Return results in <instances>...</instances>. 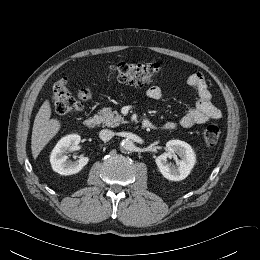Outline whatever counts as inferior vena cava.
Instances as JSON below:
<instances>
[{"instance_id": "inferior-vena-cava-1", "label": "inferior vena cava", "mask_w": 260, "mask_h": 260, "mask_svg": "<svg viewBox=\"0 0 260 260\" xmlns=\"http://www.w3.org/2000/svg\"><path fill=\"white\" fill-rule=\"evenodd\" d=\"M113 136H114V132L108 129H103L99 133V137L103 141H108L111 138H113Z\"/></svg>"}]
</instances>
